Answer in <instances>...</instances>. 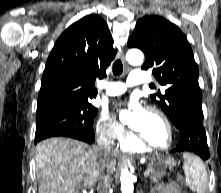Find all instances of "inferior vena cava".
I'll return each mask as SVG.
<instances>
[{
    "instance_id": "inferior-vena-cava-1",
    "label": "inferior vena cava",
    "mask_w": 221,
    "mask_h": 193,
    "mask_svg": "<svg viewBox=\"0 0 221 193\" xmlns=\"http://www.w3.org/2000/svg\"><path fill=\"white\" fill-rule=\"evenodd\" d=\"M98 149L104 154L107 155L112 153L113 141L110 136H104L98 139ZM109 174L103 175L98 180L97 192L98 193H108L110 188L109 185Z\"/></svg>"
}]
</instances>
